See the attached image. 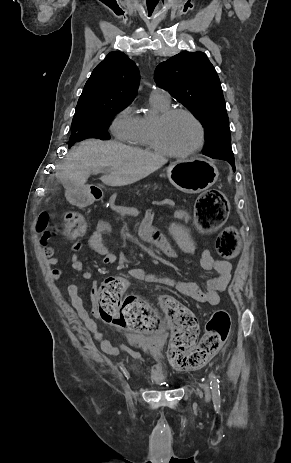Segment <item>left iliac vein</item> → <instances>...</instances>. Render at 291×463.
<instances>
[{"instance_id": "4c4485c4", "label": "left iliac vein", "mask_w": 291, "mask_h": 463, "mask_svg": "<svg viewBox=\"0 0 291 463\" xmlns=\"http://www.w3.org/2000/svg\"><path fill=\"white\" fill-rule=\"evenodd\" d=\"M204 389H205V392H206V400L209 401L210 397H211V394H210V389H209V384L208 383L204 384Z\"/></svg>"}]
</instances>
